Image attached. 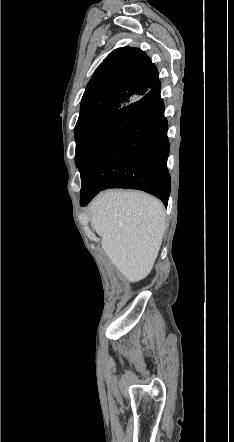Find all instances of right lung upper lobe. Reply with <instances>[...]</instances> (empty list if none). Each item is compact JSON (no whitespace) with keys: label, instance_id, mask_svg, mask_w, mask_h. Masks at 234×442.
<instances>
[{"label":"right lung upper lobe","instance_id":"obj_1","mask_svg":"<svg viewBox=\"0 0 234 442\" xmlns=\"http://www.w3.org/2000/svg\"><path fill=\"white\" fill-rule=\"evenodd\" d=\"M158 81L156 66L142 50L118 48L104 59L90 79L81 100L79 119L119 111L144 96Z\"/></svg>","mask_w":234,"mask_h":442}]
</instances>
